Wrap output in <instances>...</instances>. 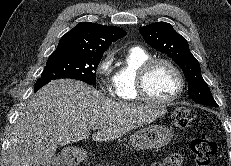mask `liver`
<instances>
[{
    "label": "liver",
    "instance_id": "obj_1",
    "mask_svg": "<svg viewBox=\"0 0 231 166\" xmlns=\"http://www.w3.org/2000/svg\"><path fill=\"white\" fill-rule=\"evenodd\" d=\"M166 113L159 106L116 102L90 85L59 79L22 109L10 136L9 166H48L58 145L111 141Z\"/></svg>",
    "mask_w": 231,
    "mask_h": 166
}]
</instances>
